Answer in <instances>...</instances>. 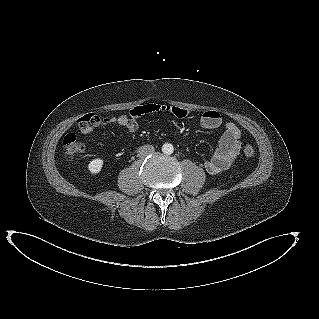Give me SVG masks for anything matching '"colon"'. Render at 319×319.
Returning a JSON list of instances; mask_svg holds the SVG:
<instances>
[{"mask_svg":"<svg viewBox=\"0 0 319 319\" xmlns=\"http://www.w3.org/2000/svg\"><path fill=\"white\" fill-rule=\"evenodd\" d=\"M94 114H86L82 116L78 121V125L89 123L93 120ZM63 148L65 157L68 159H73L84 152L85 144L83 141L77 138L73 133L67 134L63 139ZM242 152L244 156L248 159H252L255 156V148L248 142H243L241 145Z\"/></svg>","mask_w":319,"mask_h":319,"instance_id":"1","label":"colon"}]
</instances>
